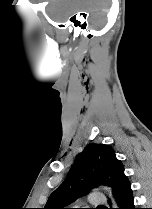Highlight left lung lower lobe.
Here are the masks:
<instances>
[{"label":"left lung lower lobe","mask_w":152,"mask_h":209,"mask_svg":"<svg viewBox=\"0 0 152 209\" xmlns=\"http://www.w3.org/2000/svg\"><path fill=\"white\" fill-rule=\"evenodd\" d=\"M114 197L118 204L117 209H136L133 203L131 184L128 179L124 182Z\"/></svg>","instance_id":"0a47b994"}]
</instances>
